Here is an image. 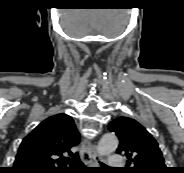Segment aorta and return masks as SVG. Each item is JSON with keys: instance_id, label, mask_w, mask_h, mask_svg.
<instances>
[{"instance_id": "762f6f07", "label": "aorta", "mask_w": 184, "mask_h": 173, "mask_svg": "<svg viewBox=\"0 0 184 173\" xmlns=\"http://www.w3.org/2000/svg\"><path fill=\"white\" fill-rule=\"evenodd\" d=\"M118 143L119 141L115 134H104L98 143L97 152L100 156L109 155L116 150Z\"/></svg>"}]
</instances>
